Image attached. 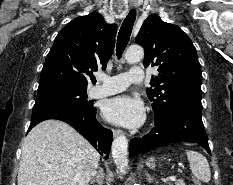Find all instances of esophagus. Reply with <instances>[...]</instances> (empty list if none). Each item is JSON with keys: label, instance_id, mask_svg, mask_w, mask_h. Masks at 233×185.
Wrapping results in <instances>:
<instances>
[{"label": "esophagus", "instance_id": "34e87169", "mask_svg": "<svg viewBox=\"0 0 233 185\" xmlns=\"http://www.w3.org/2000/svg\"><path fill=\"white\" fill-rule=\"evenodd\" d=\"M133 7L135 6V4H131ZM123 134V132H122V130H120V129H114L113 130V136L114 137H117V136H119V135H122Z\"/></svg>", "mask_w": 233, "mask_h": 185}]
</instances>
